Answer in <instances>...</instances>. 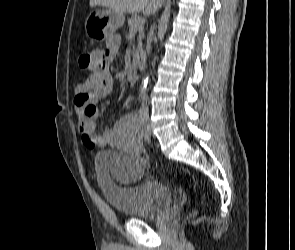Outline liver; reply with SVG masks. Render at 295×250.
<instances>
[{
    "label": "liver",
    "mask_w": 295,
    "mask_h": 250,
    "mask_svg": "<svg viewBox=\"0 0 295 250\" xmlns=\"http://www.w3.org/2000/svg\"><path fill=\"white\" fill-rule=\"evenodd\" d=\"M164 0H90V6H102L117 12L138 13L144 11L146 15L155 13Z\"/></svg>",
    "instance_id": "liver-1"
}]
</instances>
